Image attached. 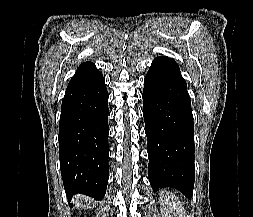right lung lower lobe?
Listing matches in <instances>:
<instances>
[{
    "label": "right lung lower lobe",
    "instance_id": "right-lung-lower-lobe-1",
    "mask_svg": "<svg viewBox=\"0 0 253 217\" xmlns=\"http://www.w3.org/2000/svg\"><path fill=\"white\" fill-rule=\"evenodd\" d=\"M108 92L91 62L80 65L62 101L60 168L66 194L104 198L109 178Z\"/></svg>",
    "mask_w": 253,
    "mask_h": 217
}]
</instances>
